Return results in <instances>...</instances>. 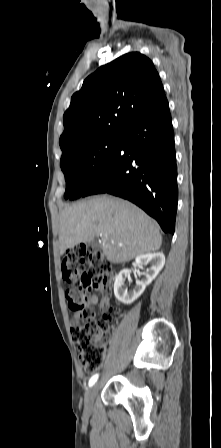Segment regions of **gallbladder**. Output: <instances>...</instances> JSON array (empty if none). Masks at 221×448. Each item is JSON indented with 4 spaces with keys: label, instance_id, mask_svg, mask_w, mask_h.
Masks as SVG:
<instances>
[{
    "label": "gallbladder",
    "instance_id": "bac80fb5",
    "mask_svg": "<svg viewBox=\"0 0 221 448\" xmlns=\"http://www.w3.org/2000/svg\"><path fill=\"white\" fill-rule=\"evenodd\" d=\"M92 246L97 245L95 241L90 242Z\"/></svg>",
    "mask_w": 221,
    "mask_h": 448
}]
</instances>
